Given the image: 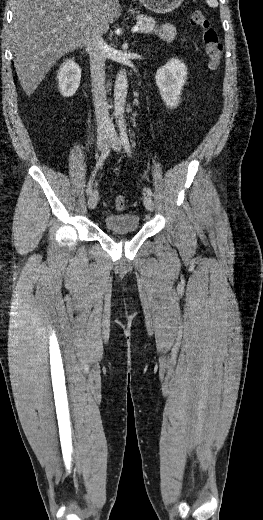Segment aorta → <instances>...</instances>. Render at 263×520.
I'll return each instance as SVG.
<instances>
[{
  "instance_id": "aorta-1",
  "label": "aorta",
  "mask_w": 263,
  "mask_h": 520,
  "mask_svg": "<svg viewBox=\"0 0 263 520\" xmlns=\"http://www.w3.org/2000/svg\"><path fill=\"white\" fill-rule=\"evenodd\" d=\"M128 80L125 70H121L116 77L114 85V113L119 119L123 118L126 97H127Z\"/></svg>"
}]
</instances>
